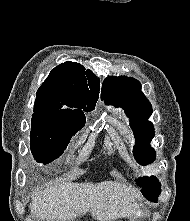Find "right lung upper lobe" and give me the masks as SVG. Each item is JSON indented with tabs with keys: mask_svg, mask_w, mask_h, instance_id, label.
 <instances>
[{
	"mask_svg": "<svg viewBox=\"0 0 190 221\" xmlns=\"http://www.w3.org/2000/svg\"><path fill=\"white\" fill-rule=\"evenodd\" d=\"M100 82L91 70L76 62L56 66L39 87L32 116L56 117L68 122L85 120L95 108Z\"/></svg>",
	"mask_w": 190,
	"mask_h": 221,
	"instance_id": "right-lung-upper-lobe-1",
	"label": "right lung upper lobe"
}]
</instances>
